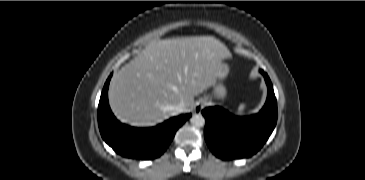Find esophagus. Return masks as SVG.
Returning <instances> with one entry per match:
<instances>
[{
  "mask_svg": "<svg viewBox=\"0 0 365 180\" xmlns=\"http://www.w3.org/2000/svg\"><path fill=\"white\" fill-rule=\"evenodd\" d=\"M204 106H205V103L203 101L197 102L194 107V113H200Z\"/></svg>",
  "mask_w": 365,
  "mask_h": 180,
  "instance_id": "34e87169",
  "label": "esophagus"
}]
</instances>
